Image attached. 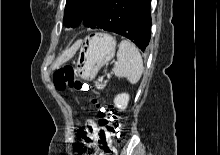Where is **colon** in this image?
Returning a JSON list of instances; mask_svg holds the SVG:
<instances>
[{"mask_svg":"<svg viewBox=\"0 0 220 155\" xmlns=\"http://www.w3.org/2000/svg\"><path fill=\"white\" fill-rule=\"evenodd\" d=\"M55 88L59 91L75 89L78 91H87L90 86L80 80L72 66H64L55 71L54 76ZM91 103L96 107L99 118V132L95 141L88 146V150L83 155H116L113 145H119L122 134L120 132L119 116L110 108L105 106L98 97H93ZM80 134H85V129H80ZM78 140L79 144H88L87 135H82Z\"/></svg>","mask_w":220,"mask_h":155,"instance_id":"5ec220e1","label":"colon"}]
</instances>
